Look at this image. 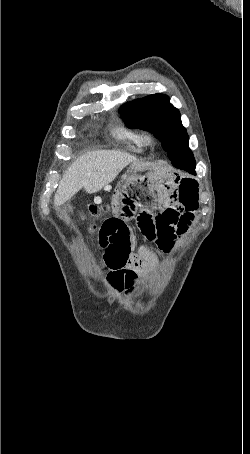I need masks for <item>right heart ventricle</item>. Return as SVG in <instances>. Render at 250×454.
Instances as JSON below:
<instances>
[{
	"mask_svg": "<svg viewBox=\"0 0 250 454\" xmlns=\"http://www.w3.org/2000/svg\"><path fill=\"white\" fill-rule=\"evenodd\" d=\"M114 135L131 151L141 152L144 147L143 135L137 130L119 127Z\"/></svg>",
	"mask_w": 250,
	"mask_h": 454,
	"instance_id": "obj_1",
	"label": "right heart ventricle"
}]
</instances>
